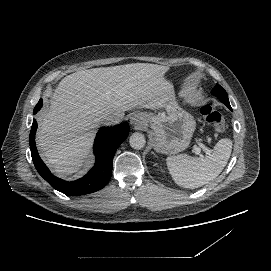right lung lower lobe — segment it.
<instances>
[{
	"label": "right lung lower lobe",
	"instance_id": "1",
	"mask_svg": "<svg viewBox=\"0 0 271 271\" xmlns=\"http://www.w3.org/2000/svg\"><path fill=\"white\" fill-rule=\"evenodd\" d=\"M42 104L43 100L40 99L34 108V114L40 110ZM36 129L37 121L34 119L29 142L35 168L53 188L68 196L85 195L105 187L112 174L114 154L129 134L128 123H122L114 127H102L97 133L94 143V153L96 155L95 166L81 179L74 182H66L55 177L39 157L35 144Z\"/></svg>",
	"mask_w": 271,
	"mask_h": 271
}]
</instances>
